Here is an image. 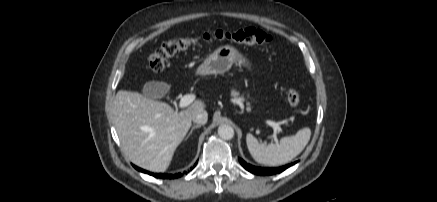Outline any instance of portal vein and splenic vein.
<instances>
[{"label":"portal vein and splenic vein","mask_w":437,"mask_h":202,"mask_svg":"<svg viewBox=\"0 0 437 202\" xmlns=\"http://www.w3.org/2000/svg\"><path fill=\"white\" fill-rule=\"evenodd\" d=\"M194 100H195V96H194L193 94H186V95H184V96L181 98V100H180V102H179V107H180V108H185V107H187L188 105H190ZM266 123H267L269 126H271V127L273 128V130H274L273 135L270 136L269 138H272L275 142H278V139H277V132H280V131H281V127H280V125H279L278 123H276V122H274V121H270V120L266 121Z\"/></svg>","instance_id":"portal-vein-and-splenic-vein-1"}]
</instances>
